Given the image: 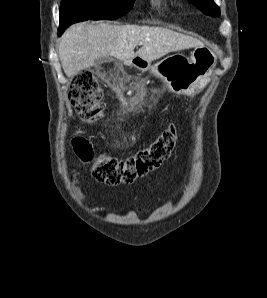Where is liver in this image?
<instances>
[{
	"mask_svg": "<svg viewBox=\"0 0 267 298\" xmlns=\"http://www.w3.org/2000/svg\"><path fill=\"white\" fill-rule=\"evenodd\" d=\"M138 45L141 48L135 53ZM202 46L196 38L163 27L81 22L62 35L59 57L66 76L73 77L109 56L126 63L135 57L150 62L170 52Z\"/></svg>",
	"mask_w": 267,
	"mask_h": 298,
	"instance_id": "1",
	"label": "liver"
}]
</instances>
